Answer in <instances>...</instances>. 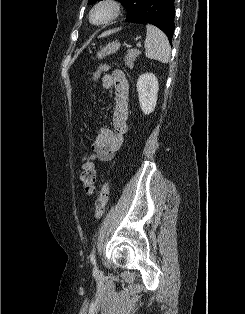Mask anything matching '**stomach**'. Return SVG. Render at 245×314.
<instances>
[{
    "label": "stomach",
    "instance_id": "0dacf381",
    "mask_svg": "<svg viewBox=\"0 0 245 314\" xmlns=\"http://www.w3.org/2000/svg\"><path fill=\"white\" fill-rule=\"evenodd\" d=\"M120 48V43L115 41L108 43L105 47H103L98 53L97 57L98 58H104L107 55L113 54L116 51H118Z\"/></svg>",
    "mask_w": 245,
    "mask_h": 314
}]
</instances>
